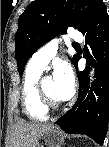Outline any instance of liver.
I'll list each match as a JSON object with an SVG mask.
<instances>
[{
    "mask_svg": "<svg viewBox=\"0 0 109 147\" xmlns=\"http://www.w3.org/2000/svg\"><path fill=\"white\" fill-rule=\"evenodd\" d=\"M51 128L54 125L17 121L12 127L8 147H37L39 138Z\"/></svg>",
    "mask_w": 109,
    "mask_h": 147,
    "instance_id": "6515ba94",
    "label": "liver"
}]
</instances>
